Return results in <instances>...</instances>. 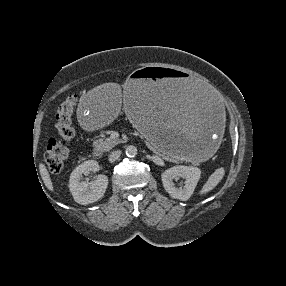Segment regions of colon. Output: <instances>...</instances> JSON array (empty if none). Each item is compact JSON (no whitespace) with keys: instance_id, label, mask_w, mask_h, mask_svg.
I'll list each match as a JSON object with an SVG mask.
<instances>
[{"instance_id":"5ec220e1","label":"colon","mask_w":286,"mask_h":286,"mask_svg":"<svg viewBox=\"0 0 286 286\" xmlns=\"http://www.w3.org/2000/svg\"><path fill=\"white\" fill-rule=\"evenodd\" d=\"M77 103L75 96L67 97L59 106L55 119L56 137L49 141L45 161L52 173H60L69 157L68 143L75 136L72 116Z\"/></svg>"}]
</instances>
